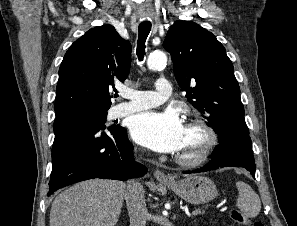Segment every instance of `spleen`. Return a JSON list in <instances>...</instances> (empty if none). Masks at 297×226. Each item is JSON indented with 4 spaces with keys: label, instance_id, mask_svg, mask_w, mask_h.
<instances>
[{
    "label": "spleen",
    "instance_id": "spleen-1",
    "mask_svg": "<svg viewBox=\"0 0 297 226\" xmlns=\"http://www.w3.org/2000/svg\"><path fill=\"white\" fill-rule=\"evenodd\" d=\"M236 187L239 192L237 207L246 217H256L261 210V201L257 193L250 185L243 181H238Z\"/></svg>",
    "mask_w": 297,
    "mask_h": 226
}]
</instances>
